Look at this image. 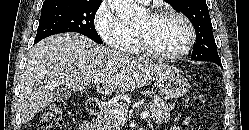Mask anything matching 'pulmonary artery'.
<instances>
[{
    "label": "pulmonary artery",
    "mask_w": 249,
    "mask_h": 130,
    "mask_svg": "<svg viewBox=\"0 0 249 130\" xmlns=\"http://www.w3.org/2000/svg\"><path fill=\"white\" fill-rule=\"evenodd\" d=\"M137 1H139L141 3H148L150 0H137Z\"/></svg>",
    "instance_id": "obj_1"
}]
</instances>
